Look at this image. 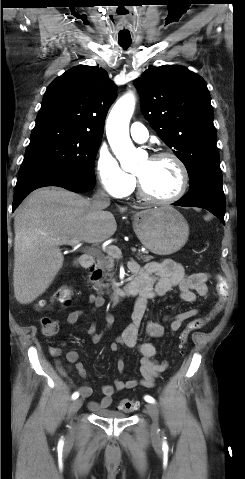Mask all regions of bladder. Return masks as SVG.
I'll return each instance as SVG.
<instances>
[{
    "instance_id": "bladder-1",
    "label": "bladder",
    "mask_w": 245,
    "mask_h": 479,
    "mask_svg": "<svg viewBox=\"0 0 245 479\" xmlns=\"http://www.w3.org/2000/svg\"><path fill=\"white\" fill-rule=\"evenodd\" d=\"M98 417L100 418H113V419H125L127 418V415L121 412H117L114 410H106V411H100L98 413Z\"/></svg>"
}]
</instances>
